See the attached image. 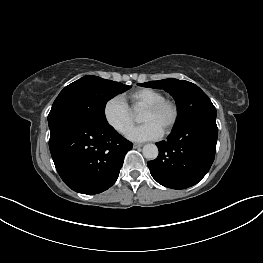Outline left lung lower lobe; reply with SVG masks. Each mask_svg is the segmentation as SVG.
<instances>
[{"label":"left lung lower lobe","instance_id":"obj_1","mask_svg":"<svg viewBox=\"0 0 263 263\" xmlns=\"http://www.w3.org/2000/svg\"><path fill=\"white\" fill-rule=\"evenodd\" d=\"M217 136L216 118L199 119L175 128L167 141L157 143L158 157L147 163L152 177L172 189L197 184L214 161Z\"/></svg>","mask_w":263,"mask_h":263}]
</instances>
